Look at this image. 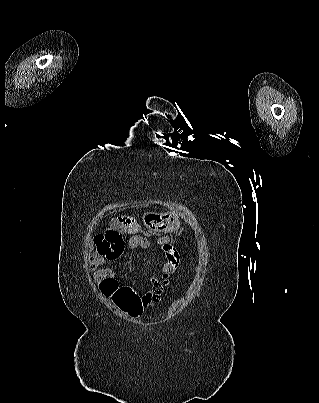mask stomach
Wrapping results in <instances>:
<instances>
[{
  "instance_id": "1",
  "label": "stomach",
  "mask_w": 319,
  "mask_h": 403,
  "mask_svg": "<svg viewBox=\"0 0 319 403\" xmlns=\"http://www.w3.org/2000/svg\"><path fill=\"white\" fill-rule=\"evenodd\" d=\"M143 222L146 228L160 233H172L180 226L179 218L171 212L146 213L143 216Z\"/></svg>"
}]
</instances>
